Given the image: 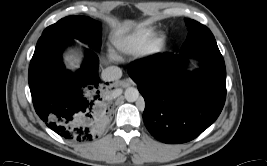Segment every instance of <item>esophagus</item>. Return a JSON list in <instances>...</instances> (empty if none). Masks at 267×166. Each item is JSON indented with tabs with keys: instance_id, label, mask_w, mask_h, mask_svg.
Segmentation results:
<instances>
[{
	"instance_id": "obj_1",
	"label": "esophagus",
	"mask_w": 267,
	"mask_h": 166,
	"mask_svg": "<svg viewBox=\"0 0 267 166\" xmlns=\"http://www.w3.org/2000/svg\"><path fill=\"white\" fill-rule=\"evenodd\" d=\"M131 84H132V81H131V80H126V81H124V82L121 83V85H122L123 87H127V86H129V85H131Z\"/></svg>"
}]
</instances>
